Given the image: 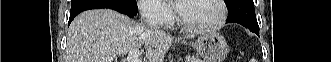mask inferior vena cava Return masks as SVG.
<instances>
[{
  "label": "inferior vena cava",
  "mask_w": 331,
  "mask_h": 62,
  "mask_svg": "<svg viewBox=\"0 0 331 62\" xmlns=\"http://www.w3.org/2000/svg\"><path fill=\"white\" fill-rule=\"evenodd\" d=\"M145 23L147 25V27H149L150 29L156 30L157 32H163L159 26H158V22L157 19L153 16V15H148L145 19Z\"/></svg>",
  "instance_id": "602c4592"
}]
</instances>
